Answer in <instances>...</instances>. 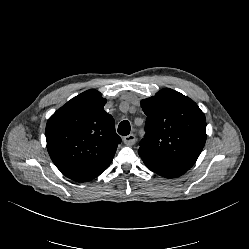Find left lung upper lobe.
<instances>
[{"mask_svg":"<svg viewBox=\"0 0 249 249\" xmlns=\"http://www.w3.org/2000/svg\"><path fill=\"white\" fill-rule=\"evenodd\" d=\"M147 115L139 155L144 163L158 161L189 170L206 141L205 115L190 98L172 89H162L141 101Z\"/></svg>","mask_w":249,"mask_h":249,"instance_id":"5c2ea615","label":"left lung upper lobe"}]
</instances>
